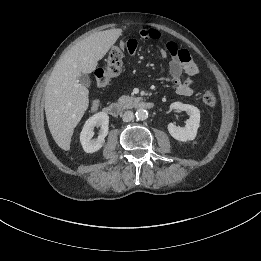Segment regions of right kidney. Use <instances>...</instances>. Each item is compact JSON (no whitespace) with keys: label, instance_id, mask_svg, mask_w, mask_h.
<instances>
[{"label":"right kidney","instance_id":"1","mask_svg":"<svg viewBox=\"0 0 261 261\" xmlns=\"http://www.w3.org/2000/svg\"><path fill=\"white\" fill-rule=\"evenodd\" d=\"M109 116L105 112H98L91 116L84 124L80 133V142L86 153H94L101 149L108 134ZM100 126L99 136L92 139L94 128Z\"/></svg>","mask_w":261,"mask_h":261}]
</instances>
